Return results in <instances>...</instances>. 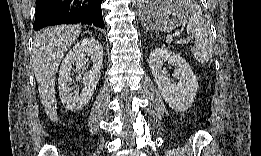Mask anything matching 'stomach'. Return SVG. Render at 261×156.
Wrapping results in <instances>:
<instances>
[{
	"instance_id": "1",
	"label": "stomach",
	"mask_w": 261,
	"mask_h": 156,
	"mask_svg": "<svg viewBox=\"0 0 261 156\" xmlns=\"http://www.w3.org/2000/svg\"><path fill=\"white\" fill-rule=\"evenodd\" d=\"M190 11L181 3L172 6L163 2H142L139 17L142 23L154 30H169L185 23ZM172 16V17H170Z\"/></svg>"
}]
</instances>
